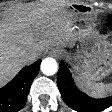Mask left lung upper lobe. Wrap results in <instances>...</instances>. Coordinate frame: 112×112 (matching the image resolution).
<instances>
[{
	"mask_svg": "<svg viewBox=\"0 0 112 112\" xmlns=\"http://www.w3.org/2000/svg\"><path fill=\"white\" fill-rule=\"evenodd\" d=\"M108 22H112V14L108 16Z\"/></svg>",
	"mask_w": 112,
	"mask_h": 112,
	"instance_id": "1",
	"label": "left lung upper lobe"
}]
</instances>
